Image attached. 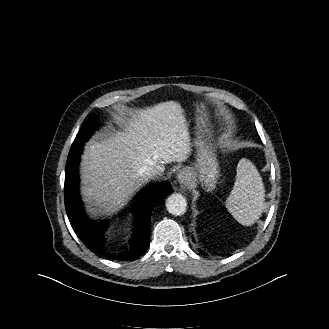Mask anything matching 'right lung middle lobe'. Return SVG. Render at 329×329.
I'll return each instance as SVG.
<instances>
[{
    "label": "right lung middle lobe",
    "mask_w": 329,
    "mask_h": 329,
    "mask_svg": "<svg viewBox=\"0 0 329 329\" xmlns=\"http://www.w3.org/2000/svg\"><path fill=\"white\" fill-rule=\"evenodd\" d=\"M96 126V121L91 115H87L83 122L82 128L76 135V138L71 146L68 158H72L73 155L78 152L84 145V143L89 139L90 135L93 133V129Z\"/></svg>",
    "instance_id": "1"
}]
</instances>
